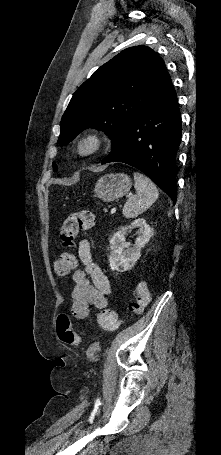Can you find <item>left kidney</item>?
<instances>
[{"mask_svg":"<svg viewBox=\"0 0 221 455\" xmlns=\"http://www.w3.org/2000/svg\"><path fill=\"white\" fill-rule=\"evenodd\" d=\"M138 228V237L133 247L125 242V235L132 229ZM151 237V228L145 219L139 218L129 226L120 228L110 240L109 262L111 270L119 272L131 269L141 256V249L148 243Z\"/></svg>","mask_w":221,"mask_h":455,"instance_id":"1","label":"left kidney"}]
</instances>
